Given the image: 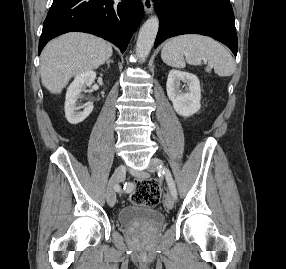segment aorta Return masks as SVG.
Masks as SVG:
<instances>
[{
    "label": "aorta",
    "instance_id": "aorta-1",
    "mask_svg": "<svg viewBox=\"0 0 286 269\" xmlns=\"http://www.w3.org/2000/svg\"><path fill=\"white\" fill-rule=\"evenodd\" d=\"M159 29L157 16H152L141 27L136 43V56L140 60H145L154 44Z\"/></svg>",
    "mask_w": 286,
    "mask_h": 269
}]
</instances>
